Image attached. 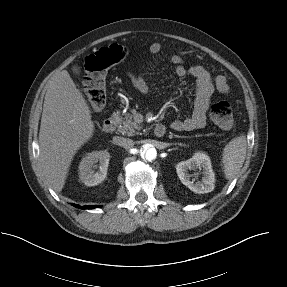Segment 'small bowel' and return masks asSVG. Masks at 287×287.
Wrapping results in <instances>:
<instances>
[{
	"mask_svg": "<svg viewBox=\"0 0 287 287\" xmlns=\"http://www.w3.org/2000/svg\"><path fill=\"white\" fill-rule=\"evenodd\" d=\"M164 51L163 44L155 42L150 45L149 53L156 55ZM168 59L174 66V71L179 77L191 76L195 80V98L193 109L185 119H176L171 123V127L176 131H192L200 129L206 125L207 112L212 94L215 90L222 94L229 92L227 79L223 75L212 78L210 72L202 65H192L187 67L183 58L173 52L168 53ZM135 89L143 96H149L151 91L147 81L140 74L129 75Z\"/></svg>",
	"mask_w": 287,
	"mask_h": 287,
	"instance_id": "1",
	"label": "small bowel"
}]
</instances>
